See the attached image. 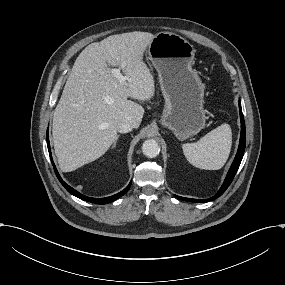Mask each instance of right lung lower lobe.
Wrapping results in <instances>:
<instances>
[{
	"mask_svg": "<svg viewBox=\"0 0 285 285\" xmlns=\"http://www.w3.org/2000/svg\"><path fill=\"white\" fill-rule=\"evenodd\" d=\"M47 145H48V151H49V155H50V159H51V162H52V165L54 167V170H55V173L59 179V181L61 182V184L65 187V189L71 193L72 195L84 200V201H87V202H91V203H96V204H107V203H110L116 199H118L119 197H121L122 195H124L127 190L130 188L131 186V182L130 184L124 189L122 190L121 192L115 194V195H112V196H109V197H105V198H91V197H87L81 193H79L78 191H76L75 189H73L72 187H70L69 185H67L60 177V175L58 174L57 170H56V167L53 163V160H52V156H51V150H50V143H49V139H48V129H47Z\"/></svg>",
	"mask_w": 285,
	"mask_h": 285,
	"instance_id": "1",
	"label": "right lung lower lobe"
}]
</instances>
